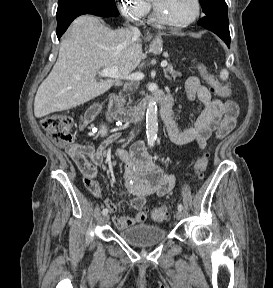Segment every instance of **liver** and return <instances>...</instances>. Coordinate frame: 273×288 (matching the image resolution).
I'll return each mask as SVG.
<instances>
[{
	"instance_id": "liver-1",
	"label": "liver",
	"mask_w": 273,
	"mask_h": 288,
	"mask_svg": "<svg viewBox=\"0 0 273 288\" xmlns=\"http://www.w3.org/2000/svg\"><path fill=\"white\" fill-rule=\"evenodd\" d=\"M144 58L141 39L132 31L111 30L94 16L78 17L71 25L70 35L60 43L52 71L38 88L35 117L68 110L102 95L114 80L97 82L100 69L117 67L121 75H127Z\"/></svg>"
}]
</instances>
